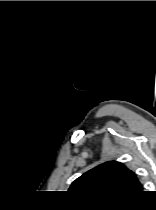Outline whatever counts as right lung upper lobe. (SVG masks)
<instances>
[{
  "mask_svg": "<svg viewBox=\"0 0 156 210\" xmlns=\"http://www.w3.org/2000/svg\"><path fill=\"white\" fill-rule=\"evenodd\" d=\"M69 191L85 198L125 200L142 193L136 174L117 161L105 162L79 178Z\"/></svg>",
  "mask_w": 156,
  "mask_h": 210,
  "instance_id": "right-lung-upper-lobe-1",
  "label": "right lung upper lobe"
}]
</instances>
